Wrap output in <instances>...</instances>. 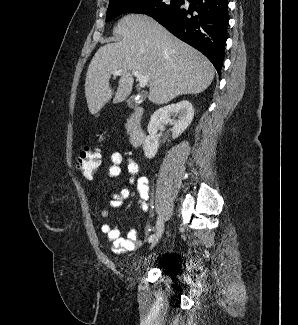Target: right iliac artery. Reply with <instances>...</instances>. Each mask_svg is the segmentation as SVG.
Returning a JSON list of instances; mask_svg holds the SVG:
<instances>
[{"label":"right iliac artery","mask_w":298,"mask_h":325,"mask_svg":"<svg viewBox=\"0 0 298 325\" xmlns=\"http://www.w3.org/2000/svg\"><path fill=\"white\" fill-rule=\"evenodd\" d=\"M154 238H155V235H154V234L151 235V236L148 238V242H152V241L154 240Z\"/></svg>","instance_id":"82829eb1"}]
</instances>
